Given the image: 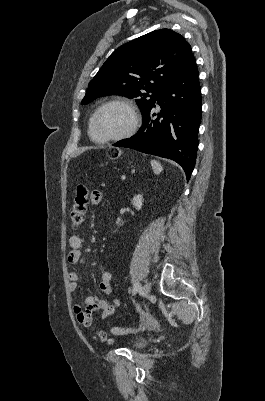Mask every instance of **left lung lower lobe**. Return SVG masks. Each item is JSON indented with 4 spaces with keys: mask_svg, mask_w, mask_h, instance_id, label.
<instances>
[{
    "mask_svg": "<svg viewBox=\"0 0 265 401\" xmlns=\"http://www.w3.org/2000/svg\"><path fill=\"white\" fill-rule=\"evenodd\" d=\"M156 103L162 109L155 119L156 114L152 109ZM201 108V87L196 61L192 56L142 116L143 125L137 134L118 141L114 146L172 159L183 167L189 180L196 161Z\"/></svg>",
    "mask_w": 265,
    "mask_h": 401,
    "instance_id": "left-lung-lower-lobe-1",
    "label": "left lung lower lobe"
}]
</instances>
